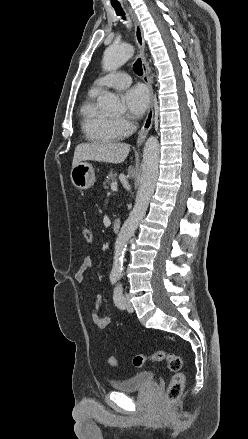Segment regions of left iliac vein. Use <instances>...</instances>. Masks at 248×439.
I'll list each match as a JSON object with an SVG mask.
<instances>
[{"instance_id":"4c4485c4","label":"left iliac vein","mask_w":248,"mask_h":439,"mask_svg":"<svg viewBox=\"0 0 248 439\" xmlns=\"http://www.w3.org/2000/svg\"><path fill=\"white\" fill-rule=\"evenodd\" d=\"M124 305L127 311L132 312L133 311V305L131 304L128 295L124 296Z\"/></svg>"}]
</instances>
